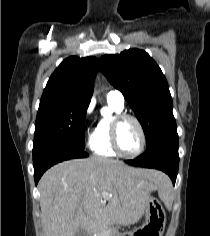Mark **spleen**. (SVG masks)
I'll list each match as a JSON object with an SVG mask.
<instances>
[{
  "instance_id": "3e777b00",
  "label": "spleen",
  "mask_w": 210,
  "mask_h": 236,
  "mask_svg": "<svg viewBox=\"0 0 210 236\" xmlns=\"http://www.w3.org/2000/svg\"><path fill=\"white\" fill-rule=\"evenodd\" d=\"M170 185H169V187H167V192H166V195L169 193V191H170Z\"/></svg>"
}]
</instances>
